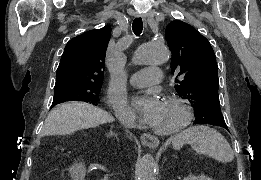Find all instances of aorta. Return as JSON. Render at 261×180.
<instances>
[{"mask_svg": "<svg viewBox=\"0 0 261 180\" xmlns=\"http://www.w3.org/2000/svg\"><path fill=\"white\" fill-rule=\"evenodd\" d=\"M170 51L165 46L154 43L140 45L134 52L133 62L135 64L159 65L169 59ZM138 180H155L156 164L153 157L145 155L137 164Z\"/></svg>", "mask_w": 261, "mask_h": 180, "instance_id": "aorta-1", "label": "aorta"}]
</instances>
